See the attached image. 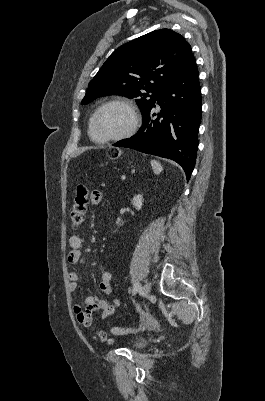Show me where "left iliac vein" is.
<instances>
[{"instance_id": "obj_1", "label": "left iliac vein", "mask_w": 265, "mask_h": 401, "mask_svg": "<svg viewBox=\"0 0 265 401\" xmlns=\"http://www.w3.org/2000/svg\"><path fill=\"white\" fill-rule=\"evenodd\" d=\"M150 291H151V287L148 284H146V285H144L141 292L144 296H148L150 294Z\"/></svg>"}]
</instances>
